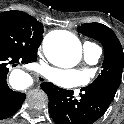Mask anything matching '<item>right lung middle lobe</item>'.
Returning <instances> with one entry per match:
<instances>
[{
    "label": "right lung middle lobe",
    "mask_w": 124,
    "mask_h": 124,
    "mask_svg": "<svg viewBox=\"0 0 124 124\" xmlns=\"http://www.w3.org/2000/svg\"><path fill=\"white\" fill-rule=\"evenodd\" d=\"M43 25L21 11L0 13V48L29 58L37 56Z\"/></svg>",
    "instance_id": "1"
}]
</instances>
